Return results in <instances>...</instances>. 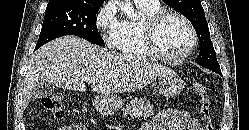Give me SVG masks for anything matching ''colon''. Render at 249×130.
I'll return each instance as SVG.
<instances>
[{
    "instance_id": "5ec220e1",
    "label": "colon",
    "mask_w": 249,
    "mask_h": 130,
    "mask_svg": "<svg viewBox=\"0 0 249 130\" xmlns=\"http://www.w3.org/2000/svg\"><path fill=\"white\" fill-rule=\"evenodd\" d=\"M193 92L199 99V112L204 124L205 130H215L211 107L210 98L207 88L201 83H194L192 86ZM43 108L57 118L63 117L65 106L64 96L62 93H54L51 96L42 99Z\"/></svg>"
}]
</instances>
